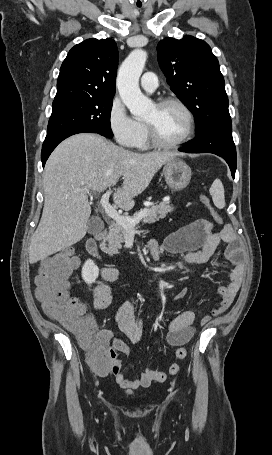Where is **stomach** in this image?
Here are the masks:
<instances>
[{
	"label": "stomach",
	"mask_w": 272,
	"mask_h": 455,
	"mask_svg": "<svg viewBox=\"0 0 272 455\" xmlns=\"http://www.w3.org/2000/svg\"><path fill=\"white\" fill-rule=\"evenodd\" d=\"M165 181L173 190L184 189L191 180V169L182 160L174 157L163 164Z\"/></svg>",
	"instance_id": "stomach-1"
}]
</instances>
